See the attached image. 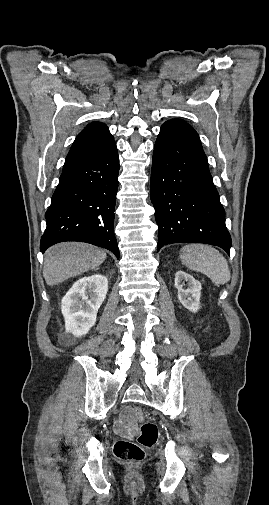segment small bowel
<instances>
[{
	"mask_svg": "<svg viewBox=\"0 0 269 505\" xmlns=\"http://www.w3.org/2000/svg\"><path fill=\"white\" fill-rule=\"evenodd\" d=\"M132 407H126L121 416L115 420L114 429L117 434L124 437L134 436L138 429L135 421L132 419Z\"/></svg>",
	"mask_w": 269,
	"mask_h": 505,
	"instance_id": "small-bowel-1",
	"label": "small bowel"
}]
</instances>
